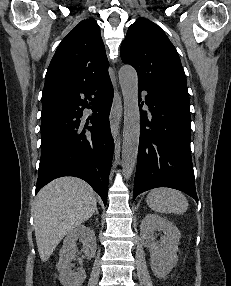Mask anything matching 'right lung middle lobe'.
Returning <instances> with one entry per match:
<instances>
[{
    "mask_svg": "<svg viewBox=\"0 0 231 286\" xmlns=\"http://www.w3.org/2000/svg\"><path fill=\"white\" fill-rule=\"evenodd\" d=\"M62 112L60 108L42 109L41 121L57 116Z\"/></svg>",
    "mask_w": 231,
    "mask_h": 286,
    "instance_id": "right-lung-middle-lobe-1",
    "label": "right lung middle lobe"
}]
</instances>
